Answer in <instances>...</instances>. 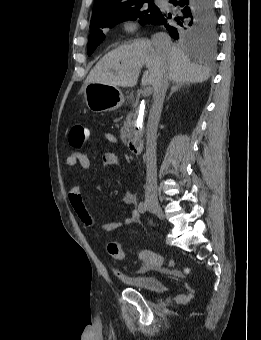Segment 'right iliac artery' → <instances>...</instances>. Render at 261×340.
I'll return each instance as SVG.
<instances>
[{
  "label": "right iliac artery",
  "instance_id": "obj_1",
  "mask_svg": "<svg viewBox=\"0 0 261 340\" xmlns=\"http://www.w3.org/2000/svg\"><path fill=\"white\" fill-rule=\"evenodd\" d=\"M148 207L146 202H140L139 206H138V210L140 213H145L147 211Z\"/></svg>",
  "mask_w": 261,
  "mask_h": 340
}]
</instances>
